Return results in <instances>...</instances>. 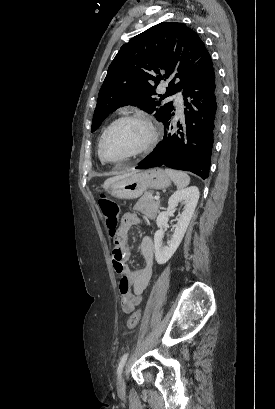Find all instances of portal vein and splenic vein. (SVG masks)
Listing matches in <instances>:
<instances>
[{
    "label": "portal vein and splenic vein",
    "instance_id": "portal-vein-and-splenic-vein-1",
    "mask_svg": "<svg viewBox=\"0 0 275 409\" xmlns=\"http://www.w3.org/2000/svg\"><path fill=\"white\" fill-rule=\"evenodd\" d=\"M155 200H158V198H160V196H154Z\"/></svg>",
    "mask_w": 275,
    "mask_h": 409
}]
</instances>
